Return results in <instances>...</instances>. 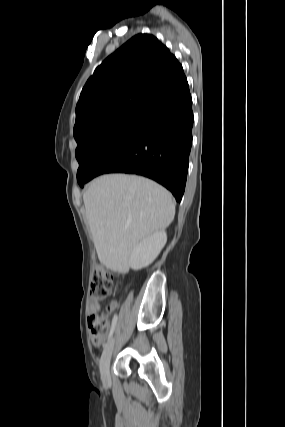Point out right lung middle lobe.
Returning a JSON list of instances; mask_svg holds the SVG:
<instances>
[{"instance_id":"obj_1","label":"right lung middle lobe","mask_w":285,"mask_h":427,"mask_svg":"<svg viewBox=\"0 0 285 427\" xmlns=\"http://www.w3.org/2000/svg\"><path fill=\"white\" fill-rule=\"evenodd\" d=\"M143 108L144 105L124 107L88 122L74 132L79 184L91 176L97 164L125 134Z\"/></svg>"}]
</instances>
